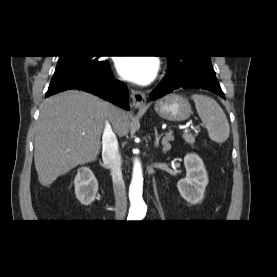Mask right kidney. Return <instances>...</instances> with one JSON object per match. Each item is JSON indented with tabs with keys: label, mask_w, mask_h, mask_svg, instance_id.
<instances>
[{
	"label": "right kidney",
	"mask_w": 277,
	"mask_h": 277,
	"mask_svg": "<svg viewBox=\"0 0 277 277\" xmlns=\"http://www.w3.org/2000/svg\"><path fill=\"white\" fill-rule=\"evenodd\" d=\"M75 194L81 204L88 206L96 198L98 181L88 167H81L74 179Z\"/></svg>",
	"instance_id": "1"
}]
</instances>
